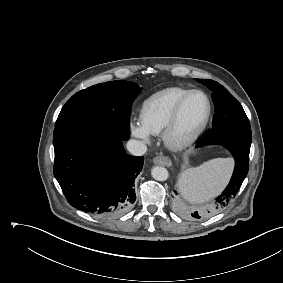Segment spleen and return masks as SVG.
<instances>
[{"label":"spleen","mask_w":283,"mask_h":283,"mask_svg":"<svg viewBox=\"0 0 283 283\" xmlns=\"http://www.w3.org/2000/svg\"><path fill=\"white\" fill-rule=\"evenodd\" d=\"M232 167L231 158H216L185 171L178 181L182 196L192 203L210 200L224 188Z\"/></svg>","instance_id":"obj_1"}]
</instances>
